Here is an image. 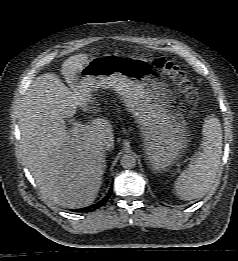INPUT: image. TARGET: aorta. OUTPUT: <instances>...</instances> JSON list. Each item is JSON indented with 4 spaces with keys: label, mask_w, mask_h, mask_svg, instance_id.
<instances>
[{
    "label": "aorta",
    "mask_w": 238,
    "mask_h": 261,
    "mask_svg": "<svg viewBox=\"0 0 238 261\" xmlns=\"http://www.w3.org/2000/svg\"><path fill=\"white\" fill-rule=\"evenodd\" d=\"M120 164L125 169H132L136 166V157L132 154H124L121 157Z\"/></svg>",
    "instance_id": "762f6f07"
}]
</instances>
